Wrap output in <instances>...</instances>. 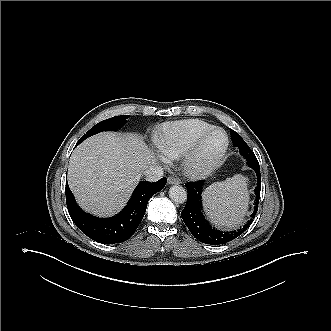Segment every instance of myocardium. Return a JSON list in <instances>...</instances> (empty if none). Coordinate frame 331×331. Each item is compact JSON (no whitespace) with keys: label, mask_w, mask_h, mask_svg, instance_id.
Here are the masks:
<instances>
[{"label":"myocardium","mask_w":331,"mask_h":331,"mask_svg":"<svg viewBox=\"0 0 331 331\" xmlns=\"http://www.w3.org/2000/svg\"><path fill=\"white\" fill-rule=\"evenodd\" d=\"M215 132H221L224 136V144L220 151L212 158L206 159L202 156V148L205 141ZM229 147V137L225 130L212 127L199 135L183 156V167L185 171L195 177L206 175L223 162Z\"/></svg>","instance_id":"myocardium-1"}]
</instances>
